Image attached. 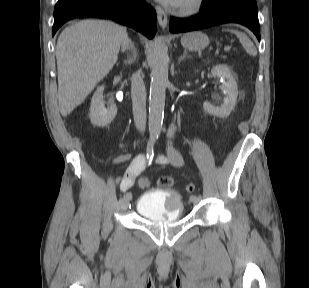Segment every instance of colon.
<instances>
[{"label": "colon", "mask_w": 309, "mask_h": 288, "mask_svg": "<svg viewBox=\"0 0 309 288\" xmlns=\"http://www.w3.org/2000/svg\"><path fill=\"white\" fill-rule=\"evenodd\" d=\"M158 185L162 188H168L174 185L175 180L172 177L163 176L160 177L157 181ZM138 184L140 187H146L149 185V180L146 177H142L139 179ZM195 184L193 182H189L186 185V191L192 194L195 191Z\"/></svg>", "instance_id": "1"}]
</instances>
